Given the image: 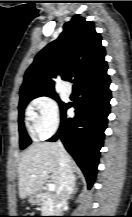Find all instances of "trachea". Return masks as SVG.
I'll use <instances>...</instances> for the list:
<instances>
[{
	"mask_svg": "<svg viewBox=\"0 0 132 217\" xmlns=\"http://www.w3.org/2000/svg\"><path fill=\"white\" fill-rule=\"evenodd\" d=\"M73 88L76 89V88H77V85L75 84V85L73 86Z\"/></svg>",
	"mask_w": 132,
	"mask_h": 217,
	"instance_id": "3493384b",
	"label": "trachea"
}]
</instances>
